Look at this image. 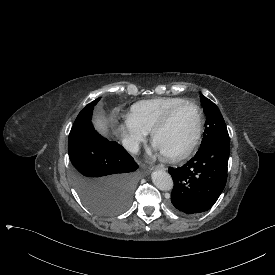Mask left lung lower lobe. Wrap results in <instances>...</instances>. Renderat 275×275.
Here are the masks:
<instances>
[{"label":"left lung lower lobe","mask_w":275,"mask_h":275,"mask_svg":"<svg viewBox=\"0 0 275 275\" xmlns=\"http://www.w3.org/2000/svg\"><path fill=\"white\" fill-rule=\"evenodd\" d=\"M229 139L207 143L183 166L169 172L174 181L171 202L176 211L197 214L209 210L227 181Z\"/></svg>","instance_id":"0a47b994"}]
</instances>
